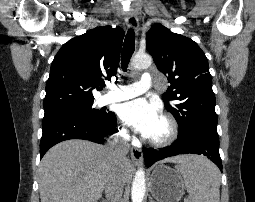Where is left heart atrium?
Instances as JSON below:
<instances>
[{"mask_svg": "<svg viewBox=\"0 0 255 202\" xmlns=\"http://www.w3.org/2000/svg\"><path fill=\"white\" fill-rule=\"evenodd\" d=\"M119 117L145 137H150L161 120L158 106L141 98L122 104L119 109Z\"/></svg>", "mask_w": 255, "mask_h": 202, "instance_id": "obj_1", "label": "left heart atrium"}]
</instances>
